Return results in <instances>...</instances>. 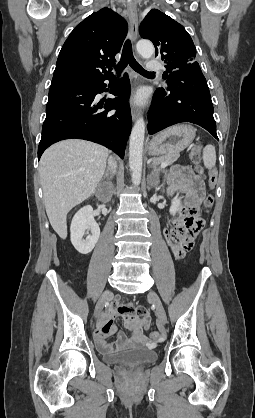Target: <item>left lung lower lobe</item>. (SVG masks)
<instances>
[{"mask_svg": "<svg viewBox=\"0 0 255 418\" xmlns=\"http://www.w3.org/2000/svg\"><path fill=\"white\" fill-rule=\"evenodd\" d=\"M181 122L200 125L218 139L211 96L200 66L171 72L165 86L154 94L148 112L149 134Z\"/></svg>", "mask_w": 255, "mask_h": 418, "instance_id": "obj_1", "label": "left lung lower lobe"}]
</instances>
